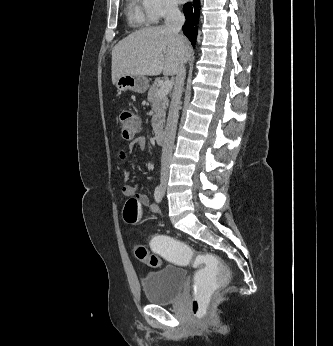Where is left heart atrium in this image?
I'll return each mask as SVG.
<instances>
[{
    "label": "left heart atrium",
    "mask_w": 333,
    "mask_h": 346,
    "mask_svg": "<svg viewBox=\"0 0 333 346\" xmlns=\"http://www.w3.org/2000/svg\"><path fill=\"white\" fill-rule=\"evenodd\" d=\"M178 2H183V1H185V0H177Z\"/></svg>",
    "instance_id": "obj_1"
}]
</instances>
